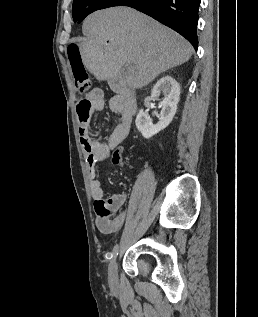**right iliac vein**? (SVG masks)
<instances>
[{"label":"right iliac vein","instance_id":"63e3f726","mask_svg":"<svg viewBox=\"0 0 258 317\" xmlns=\"http://www.w3.org/2000/svg\"><path fill=\"white\" fill-rule=\"evenodd\" d=\"M118 258L116 257L115 259H111V262L108 266V271H109V276L110 277H115L116 276V271L118 270V267H117V260Z\"/></svg>","mask_w":258,"mask_h":317}]
</instances>
